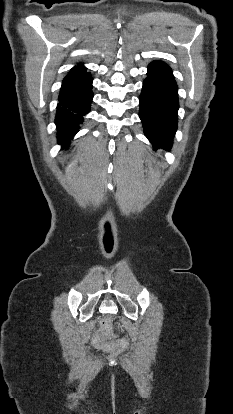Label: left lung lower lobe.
<instances>
[{
  "instance_id": "left-lung-lower-lobe-1",
  "label": "left lung lower lobe",
  "mask_w": 233,
  "mask_h": 414,
  "mask_svg": "<svg viewBox=\"0 0 233 414\" xmlns=\"http://www.w3.org/2000/svg\"><path fill=\"white\" fill-rule=\"evenodd\" d=\"M139 117L154 150H170L177 130L178 87L171 68L162 61L148 65L139 97Z\"/></svg>"
}]
</instances>
